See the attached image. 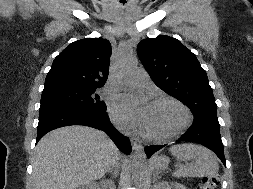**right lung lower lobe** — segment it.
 Here are the masks:
<instances>
[{"label":"right lung lower lobe","mask_w":253,"mask_h":189,"mask_svg":"<svg viewBox=\"0 0 253 189\" xmlns=\"http://www.w3.org/2000/svg\"><path fill=\"white\" fill-rule=\"evenodd\" d=\"M68 125H86L103 130L125 154L132 150L128 138L122 136L109 121L106 112L63 105L40 106L36 143L47 132Z\"/></svg>","instance_id":"right-lung-lower-lobe-1"}]
</instances>
